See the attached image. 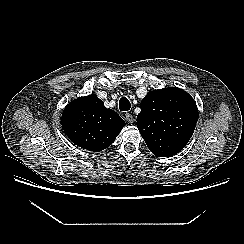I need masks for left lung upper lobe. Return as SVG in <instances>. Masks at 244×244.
I'll use <instances>...</instances> for the list:
<instances>
[{"label":"left lung upper lobe","instance_id":"obj_1","mask_svg":"<svg viewBox=\"0 0 244 244\" xmlns=\"http://www.w3.org/2000/svg\"><path fill=\"white\" fill-rule=\"evenodd\" d=\"M198 108L186 91L169 87L150 91L141 101L137 128L157 157L179 153L193 135Z\"/></svg>","mask_w":244,"mask_h":244}]
</instances>
